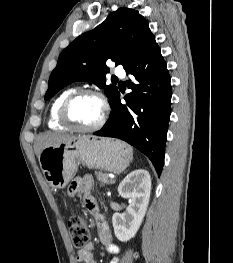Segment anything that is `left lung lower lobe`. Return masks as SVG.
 I'll use <instances>...</instances> for the list:
<instances>
[{"mask_svg": "<svg viewBox=\"0 0 233 263\" xmlns=\"http://www.w3.org/2000/svg\"><path fill=\"white\" fill-rule=\"evenodd\" d=\"M124 69L133 76L128 82L132 92L125 96L126 105L121 104L118 93L108 121L94 135L114 137L131 144L151 160L160 175L172 91L167 65L155 39Z\"/></svg>", "mask_w": 233, "mask_h": 263, "instance_id": "1", "label": "left lung lower lobe"}]
</instances>
